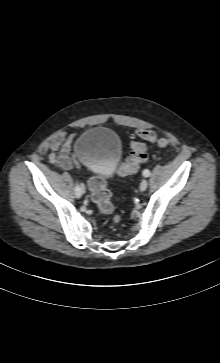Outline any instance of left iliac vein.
<instances>
[{
	"mask_svg": "<svg viewBox=\"0 0 220 363\" xmlns=\"http://www.w3.org/2000/svg\"><path fill=\"white\" fill-rule=\"evenodd\" d=\"M148 182L147 180H142L140 183V191L144 192L147 189Z\"/></svg>",
	"mask_w": 220,
	"mask_h": 363,
	"instance_id": "4c4485c4",
	"label": "left iliac vein"
}]
</instances>
